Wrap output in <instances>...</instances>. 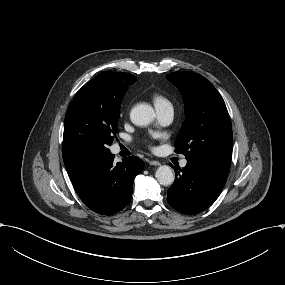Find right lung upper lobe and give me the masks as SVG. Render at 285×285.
I'll return each mask as SVG.
<instances>
[{
  "label": "right lung upper lobe",
  "instance_id": "right-lung-upper-lobe-1",
  "mask_svg": "<svg viewBox=\"0 0 285 285\" xmlns=\"http://www.w3.org/2000/svg\"><path fill=\"white\" fill-rule=\"evenodd\" d=\"M135 80V76L128 73L103 72L83 86L77 96L86 100H102L109 95L127 90L128 85L134 83ZM106 158L103 156L63 155L64 164L71 181L89 167Z\"/></svg>",
  "mask_w": 285,
  "mask_h": 285
}]
</instances>
